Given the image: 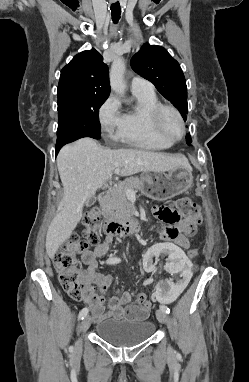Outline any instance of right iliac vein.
Segmentation results:
<instances>
[{
    "label": "right iliac vein",
    "instance_id": "right-iliac-vein-1",
    "mask_svg": "<svg viewBox=\"0 0 249 382\" xmlns=\"http://www.w3.org/2000/svg\"><path fill=\"white\" fill-rule=\"evenodd\" d=\"M90 324H91V318L89 316H86L81 322L80 331L84 333L90 327ZM80 347H81V338L77 342V348H80Z\"/></svg>",
    "mask_w": 249,
    "mask_h": 382
}]
</instances>
